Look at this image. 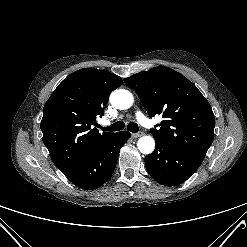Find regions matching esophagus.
Returning <instances> with one entry per match:
<instances>
[{
    "label": "esophagus",
    "mask_w": 247,
    "mask_h": 247,
    "mask_svg": "<svg viewBox=\"0 0 247 247\" xmlns=\"http://www.w3.org/2000/svg\"><path fill=\"white\" fill-rule=\"evenodd\" d=\"M143 135V132H137V133H132L131 134V136L133 137V138H139V137H141Z\"/></svg>",
    "instance_id": "esophagus-1"
}]
</instances>
